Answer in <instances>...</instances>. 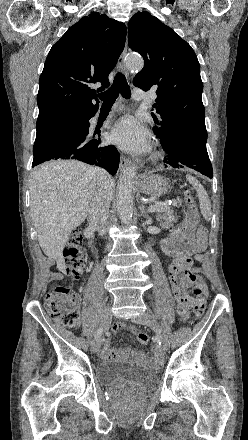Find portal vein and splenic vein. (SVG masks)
<instances>
[{
    "label": "portal vein and splenic vein",
    "instance_id": "1",
    "mask_svg": "<svg viewBox=\"0 0 248 440\" xmlns=\"http://www.w3.org/2000/svg\"><path fill=\"white\" fill-rule=\"evenodd\" d=\"M168 209L166 204L157 203L148 207L149 212H164Z\"/></svg>",
    "mask_w": 248,
    "mask_h": 440
}]
</instances>
